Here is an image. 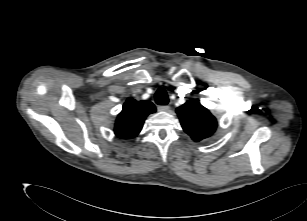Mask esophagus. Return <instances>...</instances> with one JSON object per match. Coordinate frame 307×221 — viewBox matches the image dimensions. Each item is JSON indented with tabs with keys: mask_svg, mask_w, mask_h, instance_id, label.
I'll list each match as a JSON object with an SVG mask.
<instances>
[{
	"mask_svg": "<svg viewBox=\"0 0 307 221\" xmlns=\"http://www.w3.org/2000/svg\"><path fill=\"white\" fill-rule=\"evenodd\" d=\"M158 111L167 112L170 110V107L168 105H161L157 107Z\"/></svg>",
	"mask_w": 307,
	"mask_h": 221,
	"instance_id": "34e87169",
	"label": "esophagus"
}]
</instances>
